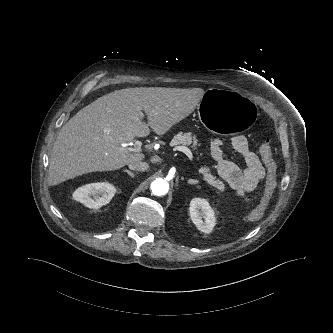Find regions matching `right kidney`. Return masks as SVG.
Segmentation results:
<instances>
[{"label": "right kidney", "mask_w": 333, "mask_h": 333, "mask_svg": "<svg viewBox=\"0 0 333 333\" xmlns=\"http://www.w3.org/2000/svg\"><path fill=\"white\" fill-rule=\"evenodd\" d=\"M115 187L107 182H97L84 185L73 193L76 201L88 208L98 209L110 202L115 195ZM93 196V198H91Z\"/></svg>", "instance_id": "ca27d5eb"}]
</instances>
